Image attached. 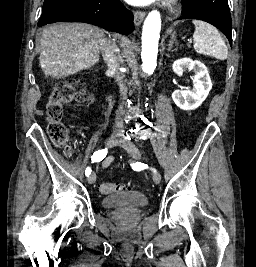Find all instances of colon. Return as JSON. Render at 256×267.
Returning <instances> with one entry per match:
<instances>
[{
	"mask_svg": "<svg viewBox=\"0 0 256 267\" xmlns=\"http://www.w3.org/2000/svg\"><path fill=\"white\" fill-rule=\"evenodd\" d=\"M89 95L85 86L79 80H72L67 84L55 87L50 94L46 105L48 120L47 132L50 140L57 145H65L68 153L73 150L69 142V134L62 122L65 115V105L70 103H85ZM131 189L129 183L103 182L100 184V192L106 195L125 192Z\"/></svg>",
	"mask_w": 256,
	"mask_h": 267,
	"instance_id": "1",
	"label": "colon"
}]
</instances>
